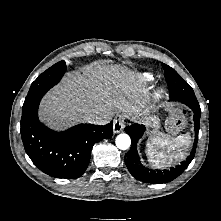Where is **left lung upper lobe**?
I'll list each match as a JSON object with an SVG mask.
<instances>
[{
	"label": "left lung upper lobe",
	"instance_id": "obj_1",
	"mask_svg": "<svg viewBox=\"0 0 221 221\" xmlns=\"http://www.w3.org/2000/svg\"><path fill=\"white\" fill-rule=\"evenodd\" d=\"M162 67L164 69V76L168 83V86H170L172 83L176 82L177 80L182 79L180 75L170 66L162 64Z\"/></svg>",
	"mask_w": 221,
	"mask_h": 221
}]
</instances>
